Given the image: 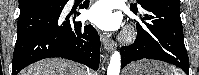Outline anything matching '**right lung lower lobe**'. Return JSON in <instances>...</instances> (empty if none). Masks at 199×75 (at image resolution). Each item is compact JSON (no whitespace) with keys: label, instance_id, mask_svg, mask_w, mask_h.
<instances>
[{"label":"right lung lower lobe","instance_id":"obj_1","mask_svg":"<svg viewBox=\"0 0 199 75\" xmlns=\"http://www.w3.org/2000/svg\"><path fill=\"white\" fill-rule=\"evenodd\" d=\"M68 0H25L19 2L17 41L12 75L44 58L61 57L97 70L100 37L92 25L74 22L61 15ZM89 1L80 8H88ZM79 14V13H78ZM77 14V15H78ZM76 16V13H75Z\"/></svg>","mask_w":199,"mask_h":75}]
</instances>
